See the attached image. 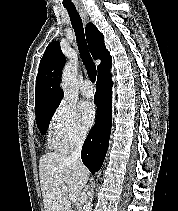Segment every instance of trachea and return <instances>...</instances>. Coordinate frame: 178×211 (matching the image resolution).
Masks as SVG:
<instances>
[{
    "label": "trachea",
    "mask_w": 178,
    "mask_h": 211,
    "mask_svg": "<svg viewBox=\"0 0 178 211\" xmlns=\"http://www.w3.org/2000/svg\"><path fill=\"white\" fill-rule=\"evenodd\" d=\"M64 8H66L69 14L71 24L76 35L79 53L83 61V64L86 67L88 76L91 81L95 82L96 75H97L96 66L87 46L82 19L77 9L75 8V6H72V7L64 6Z\"/></svg>",
    "instance_id": "3493384b"
}]
</instances>
